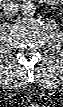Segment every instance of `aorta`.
<instances>
[{
	"mask_svg": "<svg viewBox=\"0 0 63 107\" xmlns=\"http://www.w3.org/2000/svg\"><path fill=\"white\" fill-rule=\"evenodd\" d=\"M21 11L24 15H34L36 12V5L31 1H25L21 5Z\"/></svg>",
	"mask_w": 63,
	"mask_h": 107,
	"instance_id": "aorta-1",
	"label": "aorta"
}]
</instances>
